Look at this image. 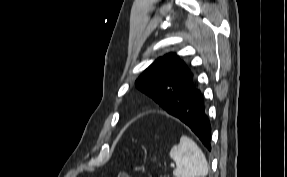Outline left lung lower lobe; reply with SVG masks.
<instances>
[{"mask_svg":"<svg viewBox=\"0 0 287 177\" xmlns=\"http://www.w3.org/2000/svg\"><path fill=\"white\" fill-rule=\"evenodd\" d=\"M169 114L184 122L202 141L208 150L210 124L205 114L203 97L195 85L190 86L169 99Z\"/></svg>","mask_w":287,"mask_h":177,"instance_id":"left-lung-lower-lobe-1","label":"left lung lower lobe"}]
</instances>
